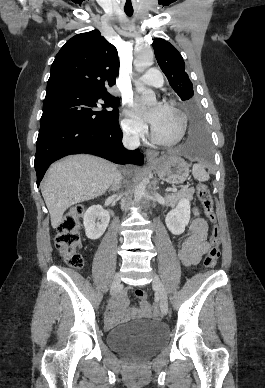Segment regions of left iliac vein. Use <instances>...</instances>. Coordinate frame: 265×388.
<instances>
[{"label": "left iliac vein", "mask_w": 265, "mask_h": 388, "mask_svg": "<svg viewBox=\"0 0 265 388\" xmlns=\"http://www.w3.org/2000/svg\"><path fill=\"white\" fill-rule=\"evenodd\" d=\"M152 284L157 291L158 297L160 299V309L162 315H167L168 313V297L167 292L162 284L161 280L157 275H154Z\"/></svg>", "instance_id": "1"}]
</instances>
